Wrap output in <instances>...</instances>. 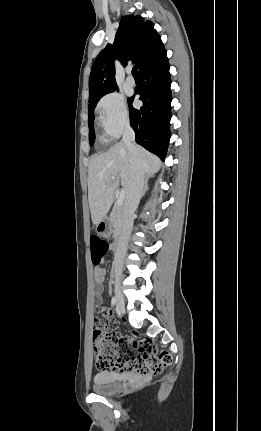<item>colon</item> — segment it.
Listing matches in <instances>:
<instances>
[{
	"instance_id": "colon-1",
	"label": "colon",
	"mask_w": 261,
	"mask_h": 431,
	"mask_svg": "<svg viewBox=\"0 0 261 431\" xmlns=\"http://www.w3.org/2000/svg\"><path fill=\"white\" fill-rule=\"evenodd\" d=\"M90 247L92 263L99 266L109 250V244L98 236H91ZM95 324L93 342L96 364L100 369L129 371L147 377L160 374L172 364L171 354L165 350L158 352L150 340L135 335L104 332L100 328L99 318L95 319Z\"/></svg>"
}]
</instances>
